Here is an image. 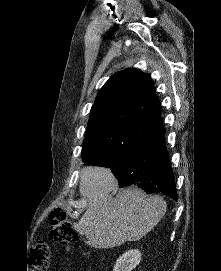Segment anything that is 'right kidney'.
<instances>
[{"label": "right kidney", "mask_w": 221, "mask_h": 271, "mask_svg": "<svg viewBox=\"0 0 221 271\" xmlns=\"http://www.w3.org/2000/svg\"><path fill=\"white\" fill-rule=\"evenodd\" d=\"M141 251L139 249H128L124 251L113 267V271H132L141 261Z\"/></svg>", "instance_id": "ca27d5eb"}]
</instances>
